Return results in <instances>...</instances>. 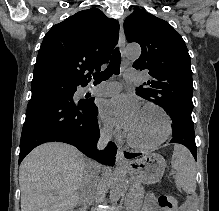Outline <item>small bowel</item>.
Masks as SVG:
<instances>
[{
    "label": "small bowel",
    "instance_id": "small-bowel-1",
    "mask_svg": "<svg viewBox=\"0 0 219 211\" xmlns=\"http://www.w3.org/2000/svg\"><path fill=\"white\" fill-rule=\"evenodd\" d=\"M143 211H161L156 203L155 196L152 193L147 195ZM180 211H194V200L190 198L182 206Z\"/></svg>",
    "mask_w": 219,
    "mask_h": 211
}]
</instances>
